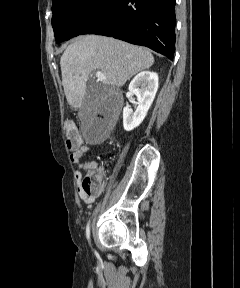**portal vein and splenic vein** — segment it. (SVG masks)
Returning <instances> with one entry per match:
<instances>
[{
  "label": "portal vein and splenic vein",
  "instance_id": "1",
  "mask_svg": "<svg viewBox=\"0 0 240 288\" xmlns=\"http://www.w3.org/2000/svg\"><path fill=\"white\" fill-rule=\"evenodd\" d=\"M96 77H97L99 80H106V77H105L104 73H102L101 71H97V72H96Z\"/></svg>",
  "mask_w": 240,
  "mask_h": 288
}]
</instances>
